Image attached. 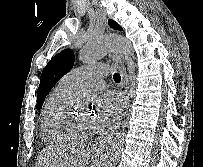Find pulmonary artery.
<instances>
[{"mask_svg":"<svg viewBox=\"0 0 203 167\" xmlns=\"http://www.w3.org/2000/svg\"><path fill=\"white\" fill-rule=\"evenodd\" d=\"M108 72L109 67L104 64L83 66L67 73L61 82L74 89L93 90L103 85Z\"/></svg>","mask_w":203,"mask_h":167,"instance_id":"1","label":"pulmonary artery"}]
</instances>
